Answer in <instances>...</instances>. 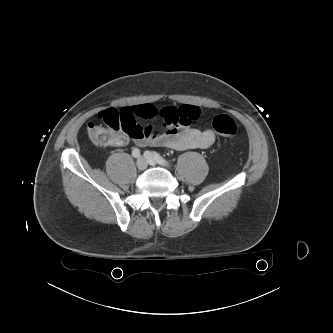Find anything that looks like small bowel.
<instances>
[{
    "label": "small bowel",
    "instance_id": "small-bowel-1",
    "mask_svg": "<svg viewBox=\"0 0 333 333\" xmlns=\"http://www.w3.org/2000/svg\"><path fill=\"white\" fill-rule=\"evenodd\" d=\"M129 110L137 118L147 120L160 118L163 130L158 131L152 127H142L137 124V131L133 134L117 133L111 146H125L133 141L139 146H159L181 151L208 149L216 140L213 130H200L191 126L201 114L197 106H170L158 110L153 105L144 104Z\"/></svg>",
    "mask_w": 333,
    "mask_h": 333
}]
</instances>
